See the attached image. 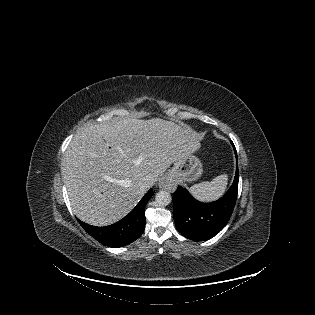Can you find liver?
<instances>
[{
	"label": "liver",
	"instance_id": "1",
	"mask_svg": "<svg viewBox=\"0 0 315 315\" xmlns=\"http://www.w3.org/2000/svg\"><path fill=\"white\" fill-rule=\"evenodd\" d=\"M200 148L192 129L160 118H129L86 127L73 137L62 178L74 214L105 226L126 216L174 162Z\"/></svg>",
	"mask_w": 315,
	"mask_h": 315
}]
</instances>
